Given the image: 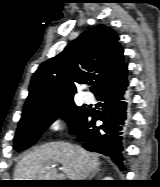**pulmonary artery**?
Listing matches in <instances>:
<instances>
[{
    "instance_id": "obj_1",
    "label": "pulmonary artery",
    "mask_w": 160,
    "mask_h": 187,
    "mask_svg": "<svg viewBox=\"0 0 160 187\" xmlns=\"http://www.w3.org/2000/svg\"><path fill=\"white\" fill-rule=\"evenodd\" d=\"M82 99L85 103L89 104L93 102V96L90 93H86L82 96Z\"/></svg>"
}]
</instances>
